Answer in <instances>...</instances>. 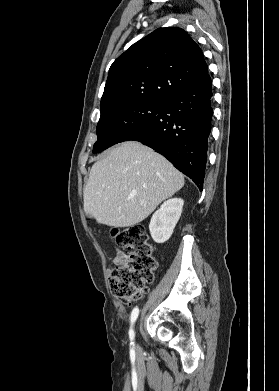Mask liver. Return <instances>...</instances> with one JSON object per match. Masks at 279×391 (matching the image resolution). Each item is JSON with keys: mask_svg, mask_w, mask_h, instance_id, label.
Here are the masks:
<instances>
[{"mask_svg": "<svg viewBox=\"0 0 279 391\" xmlns=\"http://www.w3.org/2000/svg\"><path fill=\"white\" fill-rule=\"evenodd\" d=\"M183 186L184 176L162 155L139 142H123L93 164L84 211L100 224L134 226Z\"/></svg>", "mask_w": 279, "mask_h": 391, "instance_id": "liver-1", "label": "liver"}]
</instances>
